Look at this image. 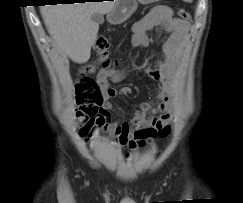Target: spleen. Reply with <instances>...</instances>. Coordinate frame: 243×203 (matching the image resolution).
Wrapping results in <instances>:
<instances>
[{"instance_id": "1", "label": "spleen", "mask_w": 243, "mask_h": 203, "mask_svg": "<svg viewBox=\"0 0 243 203\" xmlns=\"http://www.w3.org/2000/svg\"><path fill=\"white\" fill-rule=\"evenodd\" d=\"M184 1L189 2V1H191V0H184Z\"/></svg>"}]
</instances>
